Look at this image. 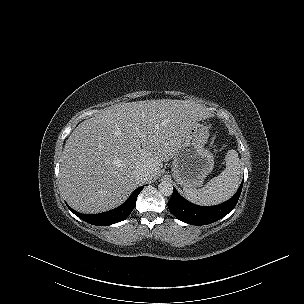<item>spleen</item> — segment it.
I'll return each instance as SVG.
<instances>
[{"mask_svg":"<svg viewBox=\"0 0 304 304\" xmlns=\"http://www.w3.org/2000/svg\"><path fill=\"white\" fill-rule=\"evenodd\" d=\"M226 168L200 189L183 188L184 195L192 203L210 206L222 203L233 196L239 187L242 166L238 153L229 150L225 157Z\"/></svg>","mask_w":304,"mask_h":304,"instance_id":"3e777b00","label":"spleen"}]
</instances>
